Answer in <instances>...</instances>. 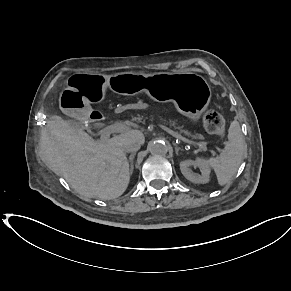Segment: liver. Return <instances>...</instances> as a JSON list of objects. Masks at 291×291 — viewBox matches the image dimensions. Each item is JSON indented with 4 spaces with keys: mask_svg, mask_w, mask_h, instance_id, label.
I'll return each instance as SVG.
<instances>
[{
    "mask_svg": "<svg viewBox=\"0 0 291 291\" xmlns=\"http://www.w3.org/2000/svg\"><path fill=\"white\" fill-rule=\"evenodd\" d=\"M144 144L139 130H130L106 140H94L81 126L58 116L47 121L40 144L43 157L79 194L102 200L121 196L130 182L123 145Z\"/></svg>",
    "mask_w": 291,
    "mask_h": 291,
    "instance_id": "6515ba94",
    "label": "liver"
}]
</instances>
